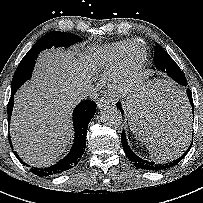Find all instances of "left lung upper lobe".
Segmentation results:
<instances>
[{
	"label": "left lung upper lobe",
	"mask_w": 203,
	"mask_h": 203,
	"mask_svg": "<svg viewBox=\"0 0 203 203\" xmlns=\"http://www.w3.org/2000/svg\"><path fill=\"white\" fill-rule=\"evenodd\" d=\"M167 54L168 53L166 51H164L162 49V47L158 43L155 44L154 64H155V67L158 70H161L160 66L158 65V59H159V57H162V55H167Z\"/></svg>",
	"instance_id": "5c2ea615"
}]
</instances>
